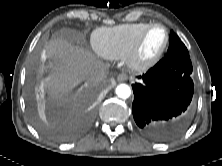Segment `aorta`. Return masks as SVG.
Wrapping results in <instances>:
<instances>
[{"mask_svg":"<svg viewBox=\"0 0 222 166\" xmlns=\"http://www.w3.org/2000/svg\"><path fill=\"white\" fill-rule=\"evenodd\" d=\"M116 94L119 98L127 99L131 95V89L127 84H120L116 88Z\"/></svg>","mask_w":222,"mask_h":166,"instance_id":"aorta-1","label":"aorta"}]
</instances>
